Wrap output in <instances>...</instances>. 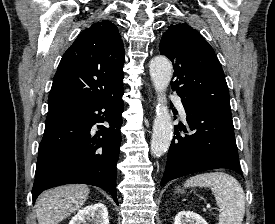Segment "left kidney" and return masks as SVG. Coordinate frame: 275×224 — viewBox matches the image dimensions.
<instances>
[{
  "mask_svg": "<svg viewBox=\"0 0 275 224\" xmlns=\"http://www.w3.org/2000/svg\"><path fill=\"white\" fill-rule=\"evenodd\" d=\"M174 224H208L205 219H203L197 213L192 211H180L176 217Z\"/></svg>",
  "mask_w": 275,
  "mask_h": 224,
  "instance_id": "5707ae66",
  "label": "left kidney"
}]
</instances>
